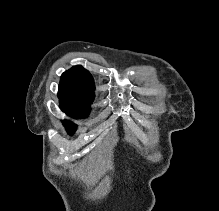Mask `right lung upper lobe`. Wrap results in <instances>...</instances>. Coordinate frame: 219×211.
Returning <instances> with one entry per match:
<instances>
[{
	"label": "right lung upper lobe",
	"instance_id": "obj_1",
	"mask_svg": "<svg viewBox=\"0 0 219 211\" xmlns=\"http://www.w3.org/2000/svg\"><path fill=\"white\" fill-rule=\"evenodd\" d=\"M94 81L82 66H75L61 76L58 97L60 102L89 105L94 98Z\"/></svg>",
	"mask_w": 219,
	"mask_h": 211
}]
</instances>
